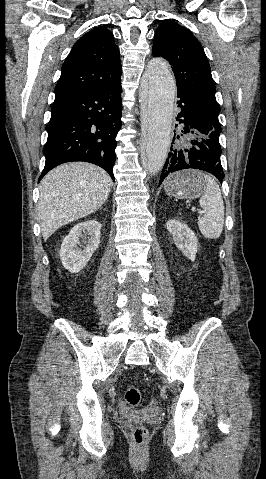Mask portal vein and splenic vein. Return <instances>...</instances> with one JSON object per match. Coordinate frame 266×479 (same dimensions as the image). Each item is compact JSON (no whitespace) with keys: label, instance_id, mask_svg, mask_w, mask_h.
<instances>
[{"label":"portal vein and splenic vein","instance_id":"18ae733b","mask_svg":"<svg viewBox=\"0 0 266 479\" xmlns=\"http://www.w3.org/2000/svg\"><path fill=\"white\" fill-rule=\"evenodd\" d=\"M198 213L201 215L203 212L200 211V212H198Z\"/></svg>","mask_w":266,"mask_h":479}]
</instances>
